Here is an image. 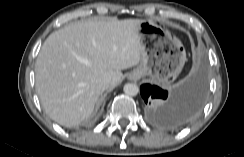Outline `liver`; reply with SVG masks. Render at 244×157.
I'll return each mask as SVG.
<instances>
[{
  "mask_svg": "<svg viewBox=\"0 0 244 157\" xmlns=\"http://www.w3.org/2000/svg\"><path fill=\"white\" fill-rule=\"evenodd\" d=\"M140 19L82 20L51 33L35 64L36 91L55 122L73 127L89 118L99 96L136 66L142 45ZM109 74L111 82L103 77Z\"/></svg>",
  "mask_w": 244,
  "mask_h": 157,
  "instance_id": "6515ba94",
  "label": "liver"
}]
</instances>
